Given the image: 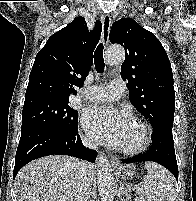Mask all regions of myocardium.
<instances>
[{
  "instance_id": "1",
  "label": "myocardium",
  "mask_w": 196,
  "mask_h": 201,
  "mask_svg": "<svg viewBox=\"0 0 196 201\" xmlns=\"http://www.w3.org/2000/svg\"><path fill=\"white\" fill-rule=\"evenodd\" d=\"M136 125L139 127L140 132H141V137L139 142L130 148H125V147H121L118 146L117 149L119 152H121L124 155H136L139 154L141 152H143L150 144L151 142V138H152V131H151V127L149 126V124H147L146 122L142 121V120H138L136 122Z\"/></svg>"
}]
</instances>
